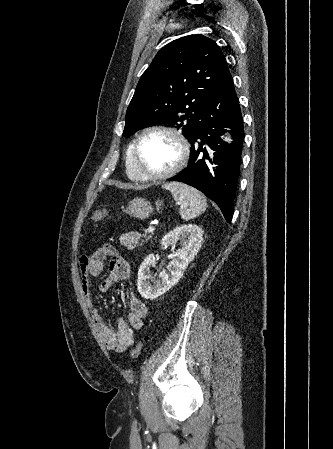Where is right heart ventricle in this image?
<instances>
[{"mask_svg": "<svg viewBox=\"0 0 333 449\" xmlns=\"http://www.w3.org/2000/svg\"><path fill=\"white\" fill-rule=\"evenodd\" d=\"M126 173L129 178L132 180L140 181V177L134 167L133 161V144H131L126 151V160H125Z\"/></svg>", "mask_w": 333, "mask_h": 449, "instance_id": "1", "label": "right heart ventricle"}]
</instances>
